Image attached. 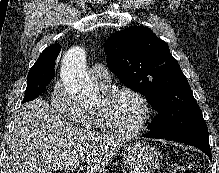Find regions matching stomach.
Wrapping results in <instances>:
<instances>
[{
	"label": "stomach",
	"instance_id": "stomach-1",
	"mask_svg": "<svg viewBox=\"0 0 219 173\" xmlns=\"http://www.w3.org/2000/svg\"><path fill=\"white\" fill-rule=\"evenodd\" d=\"M121 155L130 173H153L163 159L159 150L145 142H133Z\"/></svg>",
	"mask_w": 219,
	"mask_h": 173
}]
</instances>
